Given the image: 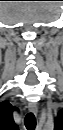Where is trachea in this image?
Masks as SVG:
<instances>
[{
	"mask_svg": "<svg viewBox=\"0 0 63 130\" xmlns=\"http://www.w3.org/2000/svg\"><path fill=\"white\" fill-rule=\"evenodd\" d=\"M24 124L28 130H33L36 127V118L35 115L30 112L25 116Z\"/></svg>",
	"mask_w": 63,
	"mask_h": 130,
	"instance_id": "3493384b",
	"label": "trachea"
}]
</instances>
